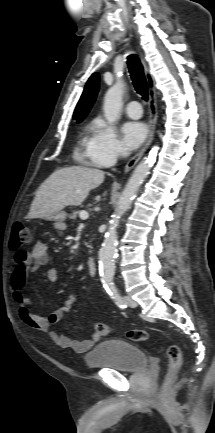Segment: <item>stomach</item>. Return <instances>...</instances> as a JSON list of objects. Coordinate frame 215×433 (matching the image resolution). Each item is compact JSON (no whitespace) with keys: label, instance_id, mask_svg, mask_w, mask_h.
<instances>
[{"label":"stomach","instance_id":"obj_1","mask_svg":"<svg viewBox=\"0 0 215 433\" xmlns=\"http://www.w3.org/2000/svg\"><path fill=\"white\" fill-rule=\"evenodd\" d=\"M66 218V213L64 211H59L48 217L49 220H53L58 223L64 222Z\"/></svg>","mask_w":215,"mask_h":433}]
</instances>
